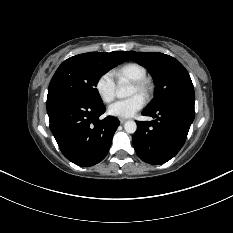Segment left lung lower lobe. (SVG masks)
<instances>
[{
	"label": "left lung lower lobe",
	"instance_id": "1",
	"mask_svg": "<svg viewBox=\"0 0 233 233\" xmlns=\"http://www.w3.org/2000/svg\"><path fill=\"white\" fill-rule=\"evenodd\" d=\"M142 114L155 120L137 122L138 129L132 138L134 149L147 163H166L184 145L195 117L194 109L176 104L156 110L146 108Z\"/></svg>",
	"mask_w": 233,
	"mask_h": 233
}]
</instances>
